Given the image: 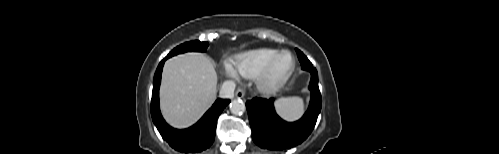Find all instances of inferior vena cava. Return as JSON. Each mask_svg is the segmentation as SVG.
<instances>
[{
    "mask_svg": "<svg viewBox=\"0 0 499 154\" xmlns=\"http://www.w3.org/2000/svg\"><path fill=\"white\" fill-rule=\"evenodd\" d=\"M235 82L233 81H225L220 89L219 97L220 98H233L234 90H235Z\"/></svg>",
    "mask_w": 499,
    "mask_h": 154,
    "instance_id": "1",
    "label": "inferior vena cava"
}]
</instances>
